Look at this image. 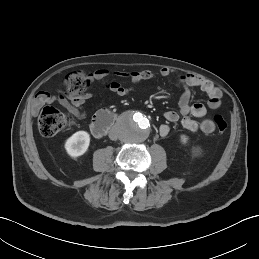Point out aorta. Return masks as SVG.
Masks as SVG:
<instances>
[{
    "label": "aorta",
    "mask_w": 259,
    "mask_h": 259,
    "mask_svg": "<svg viewBox=\"0 0 259 259\" xmlns=\"http://www.w3.org/2000/svg\"><path fill=\"white\" fill-rule=\"evenodd\" d=\"M117 130L124 142L141 143L149 137L150 122L142 113L131 112L120 118Z\"/></svg>",
    "instance_id": "762f6f07"
}]
</instances>
